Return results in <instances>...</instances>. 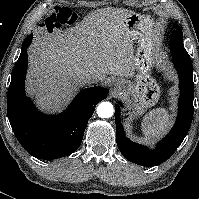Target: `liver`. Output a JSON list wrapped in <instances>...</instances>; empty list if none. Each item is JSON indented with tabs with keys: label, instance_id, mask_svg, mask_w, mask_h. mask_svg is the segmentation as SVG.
Instances as JSON below:
<instances>
[{
	"label": "liver",
	"instance_id": "6515ba94",
	"mask_svg": "<svg viewBox=\"0 0 199 199\" xmlns=\"http://www.w3.org/2000/svg\"><path fill=\"white\" fill-rule=\"evenodd\" d=\"M134 12L121 8L92 11L79 24L63 33L42 38L30 56L28 91L43 109L57 110L66 105L85 74L97 82L107 75L133 77L134 40L125 20Z\"/></svg>",
	"mask_w": 199,
	"mask_h": 199
}]
</instances>
